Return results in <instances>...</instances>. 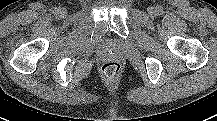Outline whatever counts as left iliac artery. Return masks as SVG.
<instances>
[{"instance_id":"1","label":"left iliac artery","mask_w":217,"mask_h":121,"mask_svg":"<svg viewBox=\"0 0 217 121\" xmlns=\"http://www.w3.org/2000/svg\"><path fill=\"white\" fill-rule=\"evenodd\" d=\"M162 12H163L162 7H158V8H157V14H162Z\"/></svg>"}]
</instances>
